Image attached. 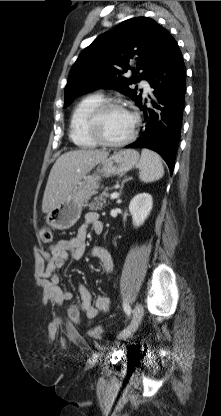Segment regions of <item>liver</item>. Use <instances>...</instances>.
Masks as SVG:
<instances>
[{
	"label": "liver",
	"mask_w": 221,
	"mask_h": 416,
	"mask_svg": "<svg viewBox=\"0 0 221 416\" xmlns=\"http://www.w3.org/2000/svg\"><path fill=\"white\" fill-rule=\"evenodd\" d=\"M103 150H74L62 154L53 165L45 188L42 212L49 213L73 191L97 164L107 159Z\"/></svg>",
	"instance_id": "obj_1"
}]
</instances>
